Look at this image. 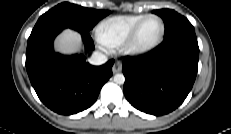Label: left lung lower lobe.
Listing matches in <instances>:
<instances>
[{"label":"left lung lower lobe","instance_id":"obj_1","mask_svg":"<svg viewBox=\"0 0 231 134\" xmlns=\"http://www.w3.org/2000/svg\"><path fill=\"white\" fill-rule=\"evenodd\" d=\"M199 47L195 31H185L164 41L141 58L123 61L124 94L136 109L164 115L182 104L194 84Z\"/></svg>","mask_w":231,"mask_h":134}]
</instances>
